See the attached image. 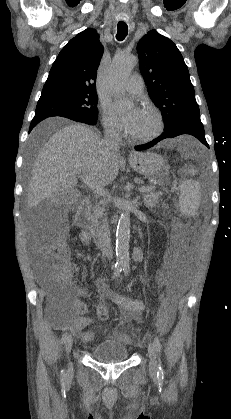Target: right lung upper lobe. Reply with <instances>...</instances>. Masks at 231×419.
I'll return each mask as SVG.
<instances>
[{"instance_id": "cb5924a9", "label": "right lung upper lobe", "mask_w": 231, "mask_h": 419, "mask_svg": "<svg viewBox=\"0 0 231 419\" xmlns=\"http://www.w3.org/2000/svg\"><path fill=\"white\" fill-rule=\"evenodd\" d=\"M103 46L94 29H86L61 50L49 72L44 87L65 86L95 91L96 75Z\"/></svg>"}]
</instances>
